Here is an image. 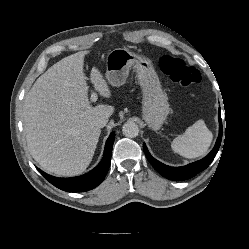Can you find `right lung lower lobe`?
Segmentation results:
<instances>
[{"label":"right lung lower lobe","mask_w":249,"mask_h":249,"mask_svg":"<svg viewBox=\"0 0 249 249\" xmlns=\"http://www.w3.org/2000/svg\"><path fill=\"white\" fill-rule=\"evenodd\" d=\"M115 139L114 132L110 134L106 141L104 148V155L102 161L90 172L79 177L72 178H58L42 170H37L48 180L51 184L57 188L67 192H84L97 187L105 178L110 163H111V152L113 147V141Z\"/></svg>","instance_id":"right-lung-lower-lobe-1"}]
</instances>
